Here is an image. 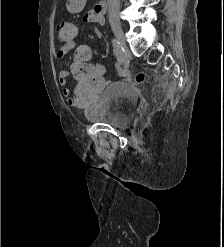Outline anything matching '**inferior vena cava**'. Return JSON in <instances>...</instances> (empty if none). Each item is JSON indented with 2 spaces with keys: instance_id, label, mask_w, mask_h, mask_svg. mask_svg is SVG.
Segmentation results:
<instances>
[{
  "instance_id": "obj_1",
  "label": "inferior vena cava",
  "mask_w": 224,
  "mask_h": 247,
  "mask_svg": "<svg viewBox=\"0 0 224 247\" xmlns=\"http://www.w3.org/2000/svg\"><path fill=\"white\" fill-rule=\"evenodd\" d=\"M119 8H120V0H110L109 2V22H119Z\"/></svg>"
}]
</instances>
